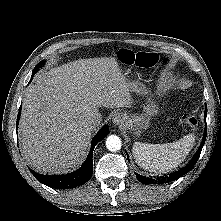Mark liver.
<instances>
[{"label":"liver","instance_id":"liver-1","mask_svg":"<svg viewBox=\"0 0 221 221\" xmlns=\"http://www.w3.org/2000/svg\"><path fill=\"white\" fill-rule=\"evenodd\" d=\"M26 90L19 123L24 158L36 171L65 174L85 159L99 109L131 105L132 82L115 58H89L51 68Z\"/></svg>","mask_w":221,"mask_h":221}]
</instances>
